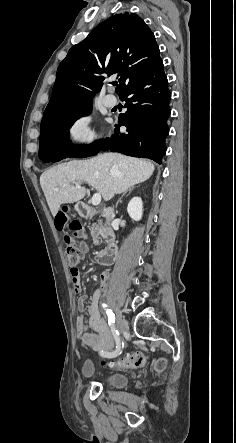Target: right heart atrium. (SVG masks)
<instances>
[{
	"label": "right heart atrium",
	"instance_id": "1",
	"mask_svg": "<svg viewBox=\"0 0 236 443\" xmlns=\"http://www.w3.org/2000/svg\"><path fill=\"white\" fill-rule=\"evenodd\" d=\"M97 136L93 118L88 113L75 116L65 130V140L74 149L90 148L95 144Z\"/></svg>",
	"mask_w": 236,
	"mask_h": 443
}]
</instances>
